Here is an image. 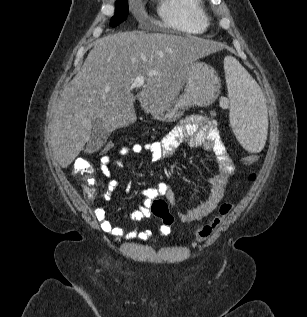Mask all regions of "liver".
Listing matches in <instances>:
<instances>
[{
    "label": "liver",
    "mask_w": 307,
    "mask_h": 317,
    "mask_svg": "<svg viewBox=\"0 0 307 317\" xmlns=\"http://www.w3.org/2000/svg\"><path fill=\"white\" fill-rule=\"evenodd\" d=\"M220 48L195 36L143 31L98 39L64 87L53 117L51 147L61 167L67 168L83 150L96 118L102 119L108 133L136 121L131 86L137 76L145 77L137 99L149 113L178 96L190 64L210 53L213 57Z\"/></svg>",
    "instance_id": "obj_1"
}]
</instances>
